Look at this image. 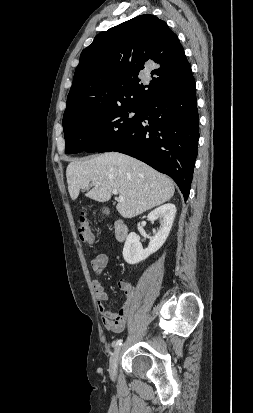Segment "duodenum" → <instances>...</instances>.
Here are the masks:
<instances>
[{
  "mask_svg": "<svg viewBox=\"0 0 253 413\" xmlns=\"http://www.w3.org/2000/svg\"><path fill=\"white\" fill-rule=\"evenodd\" d=\"M128 235V227L123 220L115 223V236L118 241H123Z\"/></svg>",
  "mask_w": 253,
  "mask_h": 413,
  "instance_id": "duodenum-1",
  "label": "duodenum"
}]
</instances>
